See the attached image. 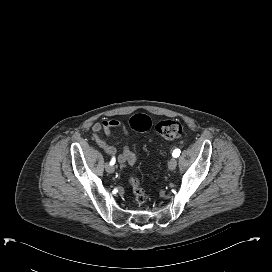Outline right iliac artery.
Returning <instances> with one entry per match:
<instances>
[{
    "label": "right iliac artery",
    "mask_w": 272,
    "mask_h": 272,
    "mask_svg": "<svg viewBox=\"0 0 272 272\" xmlns=\"http://www.w3.org/2000/svg\"><path fill=\"white\" fill-rule=\"evenodd\" d=\"M115 161H116V160H115V158L113 157V158L111 159V161H110V164H111V165H114V164H115Z\"/></svg>",
    "instance_id": "right-iliac-artery-1"
}]
</instances>
